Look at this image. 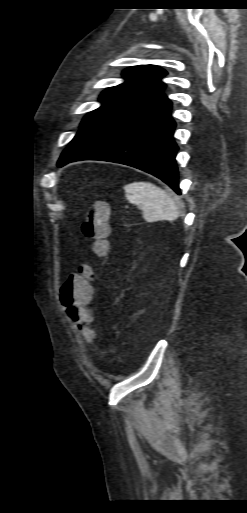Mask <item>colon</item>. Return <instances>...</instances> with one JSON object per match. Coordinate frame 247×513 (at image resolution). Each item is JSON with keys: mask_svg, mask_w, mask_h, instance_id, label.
I'll return each instance as SVG.
<instances>
[{"mask_svg": "<svg viewBox=\"0 0 247 513\" xmlns=\"http://www.w3.org/2000/svg\"><path fill=\"white\" fill-rule=\"evenodd\" d=\"M81 230L83 235L91 241L93 253L97 257L105 256L110 230V208L108 204L100 202L89 209L84 215ZM95 279L96 272L93 267L83 265L66 279L59 294L60 302L66 313L88 339L94 337L90 328L93 315L87 305L93 293Z\"/></svg>", "mask_w": 247, "mask_h": 513, "instance_id": "colon-1", "label": "colon"}]
</instances>
